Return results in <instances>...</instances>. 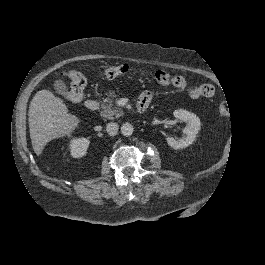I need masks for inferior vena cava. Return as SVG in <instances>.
I'll list each match as a JSON object with an SVG mask.
<instances>
[{
    "mask_svg": "<svg viewBox=\"0 0 265 265\" xmlns=\"http://www.w3.org/2000/svg\"><path fill=\"white\" fill-rule=\"evenodd\" d=\"M119 129V126L117 123L110 122L107 124L106 130L109 133V135L114 136L117 134Z\"/></svg>",
    "mask_w": 265,
    "mask_h": 265,
    "instance_id": "602c4592",
    "label": "inferior vena cava"
}]
</instances>
